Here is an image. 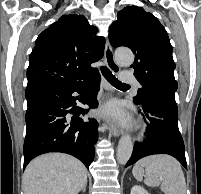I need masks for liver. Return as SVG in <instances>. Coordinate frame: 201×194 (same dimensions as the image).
I'll use <instances>...</instances> for the list:
<instances>
[{"instance_id":"1","label":"liver","mask_w":201,"mask_h":194,"mask_svg":"<svg viewBox=\"0 0 201 194\" xmlns=\"http://www.w3.org/2000/svg\"><path fill=\"white\" fill-rule=\"evenodd\" d=\"M86 184V167L63 153L33 159L22 177L24 194H78Z\"/></svg>"}]
</instances>
